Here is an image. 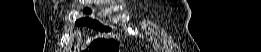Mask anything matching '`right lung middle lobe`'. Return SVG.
Listing matches in <instances>:
<instances>
[{
    "label": "right lung middle lobe",
    "instance_id": "1",
    "mask_svg": "<svg viewBox=\"0 0 261 52\" xmlns=\"http://www.w3.org/2000/svg\"><path fill=\"white\" fill-rule=\"evenodd\" d=\"M85 12L86 13H90L91 10L90 9H85ZM76 25L88 26V27L94 28L96 30H101V31H110L109 27H104L103 25H101L96 20H92V19H89V18L80 19V20L76 21Z\"/></svg>",
    "mask_w": 261,
    "mask_h": 52
}]
</instances>
